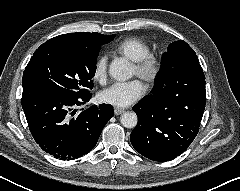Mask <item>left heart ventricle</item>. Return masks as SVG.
Returning a JSON list of instances; mask_svg holds the SVG:
<instances>
[{
  "mask_svg": "<svg viewBox=\"0 0 240 191\" xmlns=\"http://www.w3.org/2000/svg\"><path fill=\"white\" fill-rule=\"evenodd\" d=\"M134 73L136 74V70H135V68H134Z\"/></svg>",
  "mask_w": 240,
  "mask_h": 191,
  "instance_id": "b2bd125f",
  "label": "left heart ventricle"
}]
</instances>
